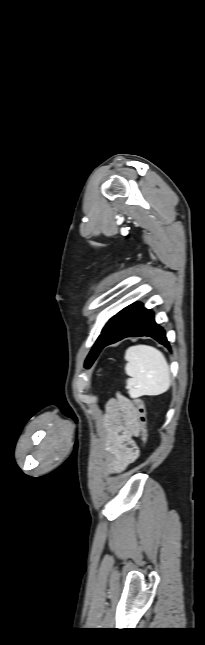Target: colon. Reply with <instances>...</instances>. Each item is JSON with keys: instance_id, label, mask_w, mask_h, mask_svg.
<instances>
[{"instance_id": "colon-1", "label": "colon", "mask_w": 205, "mask_h": 645, "mask_svg": "<svg viewBox=\"0 0 205 645\" xmlns=\"http://www.w3.org/2000/svg\"><path fill=\"white\" fill-rule=\"evenodd\" d=\"M133 405L137 417V423L144 446L148 443V426L146 419V407L144 400L140 397L133 399Z\"/></svg>"}]
</instances>
